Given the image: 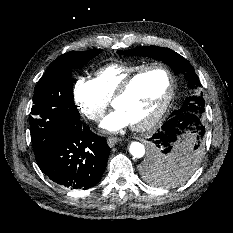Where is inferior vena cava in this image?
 Listing matches in <instances>:
<instances>
[{"label": "inferior vena cava", "instance_id": "1", "mask_svg": "<svg viewBox=\"0 0 233 233\" xmlns=\"http://www.w3.org/2000/svg\"><path fill=\"white\" fill-rule=\"evenodd\" d=\"M95 119H96V120H99V119H100V116H96Z\"/></svg>", "mask_w": 233, "mask_h": 233}]
</instances>
